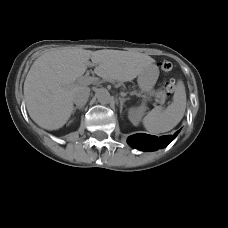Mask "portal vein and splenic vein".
<instances>
[{
	"label": "portal vein and splenic vein",
	"mask_w": 228,
	"mask_h": 228,
	"mask_svg": "<svg viewBox=\"0 0 228 228\" xmlns=\"http://www.w3.org/2000/svg\"><path fill=\"white\" fill-rule=\"evenodd\" d=\"M93 80H94L93 77H89V78L80 79V80L78 81V83H79V84L82 83V84L88 85V84H90Z\"/></svg>",
	"instance_id": "portal-vein-and-splenic-vein-1"
}]
</instances>
